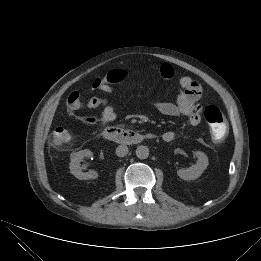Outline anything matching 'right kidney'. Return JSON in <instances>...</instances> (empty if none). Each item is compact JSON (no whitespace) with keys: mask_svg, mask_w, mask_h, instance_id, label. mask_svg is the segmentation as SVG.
Returning <instances> with one entry per match:
<instances>
[{"mask_svg":"<svg viewBox=\"0 0 261 261\" xmlns=\"http://www.w3.org/2000/svg\"><path fill=\"white\" fill-rule=\"evenodd\" d=\"M92 152L88 149L81 150L71 154V162L69 165L70 172L80 180L96 179L98 173L96 171L83 172L81 167V160L85 157H90Z\"/></svg>","mask_w":261,"mask_h":261,"instance_id":"obj_1","label":"right kidney"}]
</instances>
